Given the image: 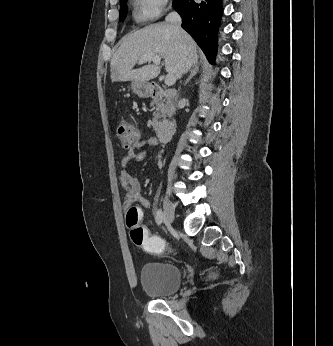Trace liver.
I'll list each match as a JSON object with an SVG mask.
<instances>
[{"label": "liver", "instance_id": "1", "mask_svg": "<svg viewBox=\"0 0 333 346\" xmlns=\"http://www.w3.org/2000/svg\"><path fill=\"white\" fill-rule=\"evenodd\" d=\"M159 55L164 59L165 70L176 78L198 61L197 46L186 32L178 33L170 24L149 25L128 34L110 62L111 80L148 82L160 73L158 65H145L133 69L141 59Z\"/></svg>", "mask_w": 333, "mask_h": 346}]
</instances>
